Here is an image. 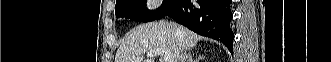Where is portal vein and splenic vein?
Masks as SVG:
<instances>
[{"label":"portal vein and splenic vein","mask_w":331,"mask_h":62,"mask_svg":"<svg viewBox=\"0 0 331 62\" xmlns=\"http://www.w3.org/2000/svg\"><path fill=\"white\" fill-rule=\"evenodd\" d=\"M159 55L163 58V62H173V57L170 52L164 48H156L147 52V57Z\"/></svg>","instance_id":"1"}]
</instances>
